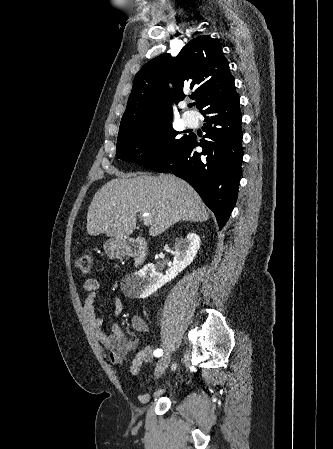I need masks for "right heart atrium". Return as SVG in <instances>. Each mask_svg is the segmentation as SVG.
<instances>
[{"instance_id": "obj_1", "label": "right heart atrium", "mask_w": 333, "mask_h": 449, "mask_svg": "<svg viewBox=\"0 0 333 449\" xmlns=\"http://www.w3.org/2000/svg\"><path fill=\"white\" fill-rule=\"evenodd\" d=\"M155 148H156V145H154V144H148L147 147H146L147 151H152Z\"/></svg>"}]
</instances>
